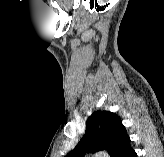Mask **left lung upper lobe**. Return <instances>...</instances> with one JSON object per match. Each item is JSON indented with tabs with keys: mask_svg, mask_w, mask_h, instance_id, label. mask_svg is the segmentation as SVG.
Returning <instances> with one entry per match:
<instances>
[{
	"mask_svg": "<svg viewBox=\"0 0 164 157\" xmlns=\"http://www.w3.org/2000/svg\"><path fill=\"white\" fill-rule=\"evenodd\" d=\"M129 136L119 116L95 111L87 120L84 137L65 157H84L85 152L106 149L110 156Z\"/></svg>",
	"mask_w": 164,
	"mask_h": 157,
	"instance_id": "1",
	"label": "left lung upper lobe"
}]
</instances>
